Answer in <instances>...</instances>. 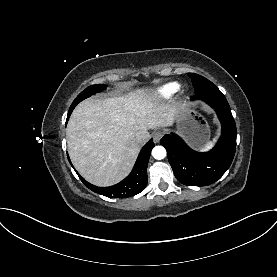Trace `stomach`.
<instances>
[{
  "label": "stomach",
  "mask_w": 277,
  "mask_h": 277,
  "mask_svg": "<svg viewBox=\"0 0 277 277\" xmlns=\"http://www.w3.org/2000/svg\"><path fill=\"white\" fill-rule=\"evenodd\" d=\"M177 132L196 149L203 147L210 138V129L203 116L196 110L177 106L175 117Z\"/></svg>",
  "instance_id": "0dacf381"
}]
</instances>
